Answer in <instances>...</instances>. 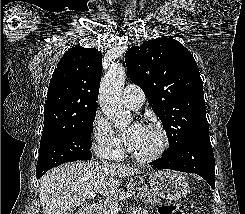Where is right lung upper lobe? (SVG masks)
<instances>
[{"label":"right lung upper lobe","mask_w":245,"mask_h":214,"mask_svg":"<svg viewBox=\"0 0 245 214\" xmlns=\"http://www.w3.org/2000/svg\"><path fill=\"white\" fill-rule=\"evenodd\" d=\"M101 74L97 49L75 46L66 51L50 80L42 135L75 125L97 109Z\"/></svg>","instance_id":"cb5924a9"}]
</instances>
